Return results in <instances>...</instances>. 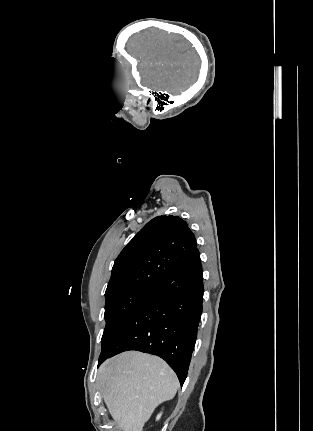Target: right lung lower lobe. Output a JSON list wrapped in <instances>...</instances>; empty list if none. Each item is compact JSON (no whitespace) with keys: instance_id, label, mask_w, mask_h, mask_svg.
<instances>
[{"instance_id":"98d812e1","label":"right lung lower lobe","mask_w":313,"mask_h":431,"mask_svg":"<svg viewBox=\"0 0 313 431\" xmlns=\"http://www.w3.org/2000/svg\"><path fill=\"white\" fill-rule=\"evenodd\" d=\"M203 292L196 248L147 295L102 347L99 364L123 351H142L164 359L183 385L197 338Z\"/></svg>"}]
</instances>
